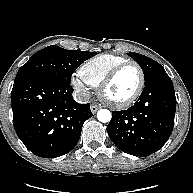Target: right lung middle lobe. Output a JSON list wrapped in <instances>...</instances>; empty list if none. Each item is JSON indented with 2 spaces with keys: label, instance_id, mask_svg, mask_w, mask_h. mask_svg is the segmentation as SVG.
I'll return each mask as SVG.
<instances>
[{
  "label": "right lung middle lobe",
  "instance_id": "dd1d6c3e",
  "mask_svg": "<svg viewBox=\"0 0 193 193\" xmlns=\"http://www.w3.org/2000/svg\"><path fill=\"white\" fill-rule=\"evenodd\" d=\"M96 54L48 46L34 54L19 69L14 82L31 77H46L70 84L71 75L77 67Z\"/></svg>",
  "mask_w": 193,
  "mask_h": 193
}]
</instances>
